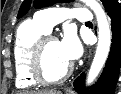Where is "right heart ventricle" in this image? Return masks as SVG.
Returning a JSON list of instances; mask_svg holds the SVG:
<instances>
[{
    "label": "right heart ventricle",
    "mask_w": 121,
    "mask_h": 94,
    "mask_svg": "<svg viewBox=\"0 0 121 94\" xmlns=\"http://www.w3.org/2000/svg\"><path fill=\"white\" fill-rule=\"evenodd\" d=\"M48 31L35 19L25 21L17 31L13 48L15 63L16 85L22 89H30L37 86L29 70V54L33 43Z\"/></svg>",
    "instance_id": "1"
}]
</instances>
